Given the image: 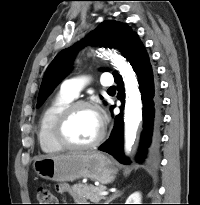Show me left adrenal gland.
I'll use <instances>...</instances> for the list:
<instances>
[{
	"label": "left adrenal gland",
	"mask_w": 200,
	"mask_h": 205,
	"mask_svg": "<svg viewBox=\"0 0 200 205\" xmlns=\"http://www.w3.org/2000/svg\"><path fill=\"white\" fill-rule=\"evenodd\" d=\"M122 195V192L121 191H119V190H117V191H115L106 201L107 202H105V204H110V202L112 201V200H114L115 198H117V197H120Z\"/></svg>",
	"instance_id": "1"
}]
</instances>
